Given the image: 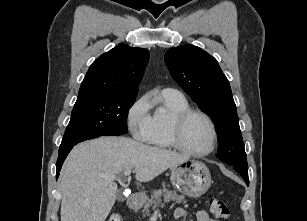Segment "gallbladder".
Listing matches in <instances>:
<instances>
[{"instance_id": "obj_1", "label": "gallbladder", "mask_w": 307, "mask_h": 221, "mask_svg": "<svg viewBox=\"0 0 307 221\" xmlns=\"http://www.w3.org/2000/svg\"><path fill=\"white\" fill-rule=\"evenodd\" d=\"M119 200H123V197L121 195L118 196Z\"/></svg>"}]
</instances>
